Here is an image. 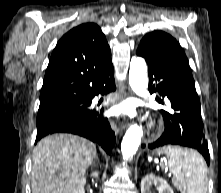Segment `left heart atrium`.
Segmentation results:
<instances>
[{"label": "left heart atrium", "instance_id": "39dd6f15", "mask_svg": "<svg viewBox=\"0 0 221 193\" xmlns=\"http://www.w3.org/2000/svg\"><path fill=\"white\" fill-rule=\"evenodd\" d=\"M111 114L113 116H134L135 115V108L133 103L131 102H124L117 106H114L111 110Z\"/></svg>", "mask_w": 221, "mask_h": 193}]
</instances>
